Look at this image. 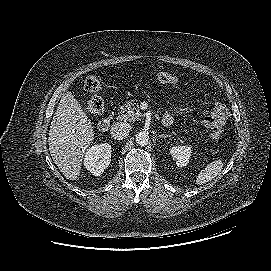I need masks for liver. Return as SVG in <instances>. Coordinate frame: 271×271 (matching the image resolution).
I'll return each mask as SVG.
<instances>
[{
    "label": "liver",
    "mask_w": 271,
    "mask_h": 271,
    "mask_svg": "<svg viewBox=\"0 0 271 271\" xmlns=\"http://www.w3.org/2000/svg\"><path fill=\"white\" fill-rule=\"evenodd\" d=\"M93 137L89 117L67 91L54 113L48 138L52 159L67 179L76 180L80 176L83 157Z\"/></svg>",
    "instance_id": "obj_1"
}]
</instances>
